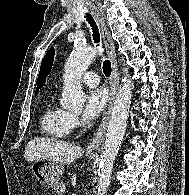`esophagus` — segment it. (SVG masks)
Returning <instances> with one entry per match:
<instances>
[{
  "mask_svg": "<svg viewBox=\"0 0 189 195\" xmlns=\"http://www.w3.org/2000/svg\"><path fill=\"white\" fill-rule=\"evenodd\" d=\"M92 13L94 14L98 24L99 28L102 34V38L105 44V49L106 52L111 60L112 64V75H111V84H112V89H111V100L108 105V108L103 116V119L98 126V129L93 135V138L91 142L89 143L87 147V154H95L98 152L100 145L102 143V140L104 138L109 119H110V114L111 110L113 107L114 99L117 94L118 88H119V72H118V65L116 61V53H115V47H114V42L111 37V34L109 32V29L107 28L104 18L101 16L100 12L95 6H91Z\"/></svg>",
  "mask_w": 189,
  "mask_h": 195,
  "instance_id": "34e87169",
  "label": "esophagus"
}]
</instances>
